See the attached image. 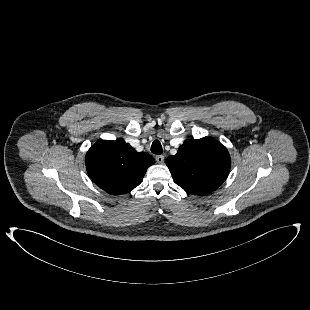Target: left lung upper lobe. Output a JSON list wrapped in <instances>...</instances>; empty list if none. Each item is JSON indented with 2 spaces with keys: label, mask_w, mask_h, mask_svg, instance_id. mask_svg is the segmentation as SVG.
<instances>
[{
  "label": "left lung upper lobe",
  "mask_w": 310,
  "mask_h": 310,
  "mask_svg": "<svg viewBox=\"0 0 310 310\" xmlns=\"http://www.w3.org/2000/svg\"><path fill=\"white\" fill-rule=\"evenodd\" d=\"M166 164L177 185L194 195H206L227 178L231 159L227 149L216 139H188Z\"/></svg>",
  "instance_id": "obj_1"
}]
</instances>
